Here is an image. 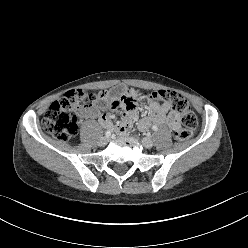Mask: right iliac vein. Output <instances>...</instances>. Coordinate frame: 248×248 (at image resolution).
I'll use <instances>...</instances> for the list:
<instances>
[{"instance_id":"63e3f726","label":"right iliac vein","mask_w":248,"mask_h":248,"mask_svg":"<svg viewBox=\"0 0 248 248\" xmlns=\"http://www.w3.org/2000/svg\"><path fill=\"white\" fill-rule=\"evenodd\" d=\"M109 141V138L108 137H101L99 140H98V145L99 146H105Z\"/></svg>"}]
</instances>
